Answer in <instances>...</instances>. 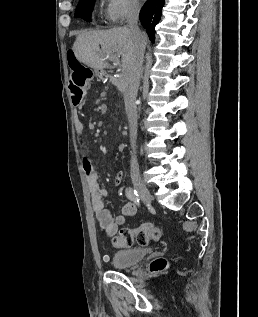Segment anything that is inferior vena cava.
Segmentation results:
<instances>
[{
	"label": "inferior vena cava",
	"instance_id": "obj_1",
	"mask_svg": "<svg viewBox=\"0 0 258 317\" xmlns=\"http://www.w3.org/2000/svg\"><path fill=\"white\" fill-rule=\"evenodd\" d=\"M139 6L136 0H131L128 10L129 32L132 36V44L134 48L133 56L129 62L124 78V98L125 110L128 116L130 128L131 142V175L132 180H139V167L136 159V138H137V112H136V96L142 74L143 56L145 50V42L143 34L138 26Z\"/></svg>",
	"mask_w": 258,
	"mask_h": 317
}]
</instances>
